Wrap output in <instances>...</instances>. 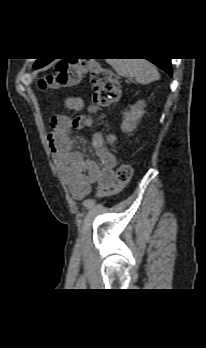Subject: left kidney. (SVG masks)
Listing matches in <instances>:
<instances>
[{
	"label": "left kidney",
	"mask_w": 206,
	"mask_h": 348,
	"mask_svg": "<svg viewBox=\"0 0 206 348\" xmlns=\"http://www.w3.org/2000/svg\"><path fill=\"white\" fill-rule=\"evenodd\" d=\"M146 103L144 100H139L134 105L130 106V110L124 113L121 129L123 132L129 133L133 131L138 121L142 118L145 113Z\"/></svg>",
	"instance_id": "left-kidney-1"
}]
</instances>
